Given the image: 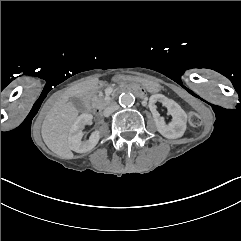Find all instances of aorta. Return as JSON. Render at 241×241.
I'll use <instances>...</instances> for the list:
<instances>
[{
	"mask_svg": "<svg viewBox=\"0 0 241 241\" xmlns=\"http://www.w3.org/2000/svg\"><path fill=\"white\" fill-rule=\"evenodd\" d=\"M135 97L131 93H122L119 97V103L121 106H132L134 104Z\"/></svg>",
	"mask_w": 241,
	"mask_h": 241,
	"instance_id": "1",
	"label": "aorta"
}]
</instances>
